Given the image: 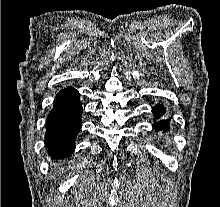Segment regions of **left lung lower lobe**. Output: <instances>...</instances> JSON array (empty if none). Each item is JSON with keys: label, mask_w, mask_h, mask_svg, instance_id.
Masks as SVG:
<instances>
[{"label": "left lung lower lobe", "mask_w": 220, "mask_h": 207, "mask_svg": "<svg viewBox=\"0 0 220 207\" xmlns=\"http://www.w3.org/2000/svg\"><path fill=\"white\" fill-rule=\"evenodd\" d=\"M152 111L155 115V118H160L165 113L166 109L164 108L163 105H157L152 109ZM168 123H169L168 119L159 121V122L155 123L154 129L156 131L164 130V132H165L168 130V128H167Z\"/></svg>", "instance_id": "1"}]
</instances>
